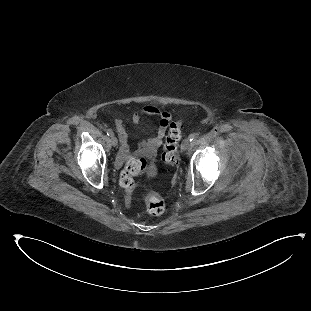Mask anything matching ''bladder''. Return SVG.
Here are the masks:
<instances>
[{
    "label": "bladder",
    "mask_w": 311,
    "mask_h": 311,
    "mask_svg": "<svg viewBox=\"0 0 311 311\" xmlns=\"http://www.w3.org/2000/svg\"><path fill=\"white\" fill-rule=\"evenodd\" d=\"M145 173H146L147 175H150V174H151V170H146Z\"/></svg>",
    "instance_id": "31cf9c89"
}]
</instances>
